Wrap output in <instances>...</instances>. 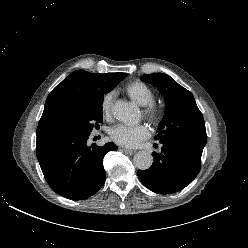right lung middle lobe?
<instances>
[{
    "label": "right lung middle lobe",
    "instance_id": "1",
    "mask_svg": "<svg viewBox=\"0 0 248 248\" xmlns=\"http://www.w3.org/2000/svg\"><path fill=\"white\" fill-rule=\"evenodd\" d=\"M127 75V73H117L113 79L95 85L94 92L84 105L73 110H64L45 119L39 123L37 134L55 128L91 133L93 128L99 126L98 123L103 121L102 103L104 94L114 89Z\"/></svg>",
    "mask_w": 248,
    "mask_h": 248
}]
</instances>
